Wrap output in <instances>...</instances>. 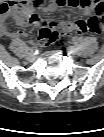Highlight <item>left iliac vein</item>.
Instances as JSON below:
<instances>
[{"mask_svg":"<svg viewBox=\"0 0 104 137\" xmlns=\"http://www.w3.org/2000/svg\"><path fill=\"white\" fill-rule=\"evenodd\" d=\"M67 50H68V52H69L70 54H72V55L76 54V52H77V49H76L74 46H69V47L67 48Z\"/></svg>","mask_w":104,"mask_h":137,"instance_id":"4c4485c4","label":"left iliac vein"}]
</instances>
